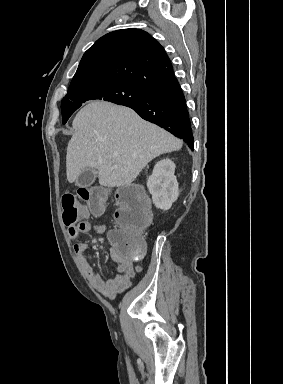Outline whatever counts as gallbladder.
Returning <instances> with one entry per match:
<instances>
[{
	"instance_id": "gallbladder-1",
	"label": "gallbladder",
	"mask_w": 283,
	"mask_h": 384,
	"mask_svg": "<svg viewBox=\"0 0 283 384\" xmlns=\"http://www.w3.org/2000/svg\"><path fill=\"white\" fill-rule=\"evenodd\" d=\"M95 178H96L95 170H92V168H85L81 176H78L76 180V184L77 186H79V188L81 186H84L85 188H89V186L93 184Z\"/></svg>"
}]
</instances>
